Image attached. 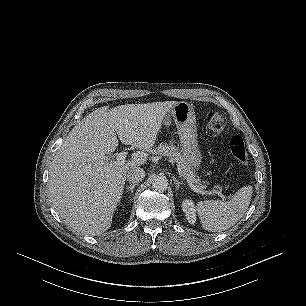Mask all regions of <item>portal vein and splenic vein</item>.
<instances>
[{
    "label": "portal vein and splenic vein",
    "instance_id": "18ae733b",
    "mask_svg": "<svg viewBox=\"0 0 306 306\" xmlns=\"http://www.w3.org/2000/svg\"><path fill=\"white\" fill-rule=\"evenodd\" d=\"M126 155H127V152H121V153H118L117 154V157H116V161L115 163L118 164V165H124L125 162H126ZM104 159L106 160H110V158L108 156H105L103 157ZM189 187L196 193H199V194H212V192H207V191H204V190H201L199 188H197L194 184H192L188 179L186 180ZM213 193H217L222 199H226L227 197L225 195H223L221 192H218V191H215Z\"/></svg>",
    "mask_w": 306,
    "mask_h": 306
}]
</instances>
